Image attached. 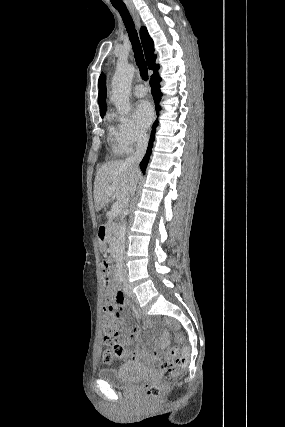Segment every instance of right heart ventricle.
<instances>
[{"instance_id": "obj_1", "label": "right heart ventricle", "mask_w": 285, "mask_h": 427, "mask_svg": "<svg viewBox=\"0 0 285 427\" xmlns=\"http://www.w3.org/2000/svg\"><path fill=\"white\" fill-rule=\"evenodd\" d=\"M113 131H114V128L111 127L110 128V138H111V141L113 142V148H114V150H115V152L117 154H123V152L120 150V148H119V146H118V144H117V142L115 140L114 132Z\"/></svg>"}]
</instances>
